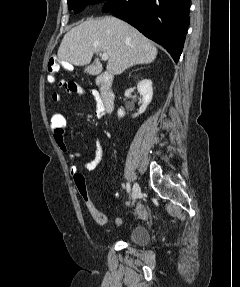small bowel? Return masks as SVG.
<instances>
[{
    "mask_svg": "<svg viewBox=\"0 0 240 287\" xmlns=\"http://www.w3.org/2000/svg\"><path fill=\"white\" fill-rule=\"evenodd\" d=\"M70 92L75 93V94L93 97L95 102H96V114H97V116L101 117L105 114L102 100L99 96V93L96 90L92 89V90L86 91L83 88L78 86L75 90H70ZM51 100L54 103H60L62 101V96H61V94L54 92L51 95ZM53 139H54L56 145L59 147V149L62 152L67 154V159H68V162L70 164V172H71V174L75 175L78 172V168H79L77 161H78V159L83 158V154L81 152H74V151L69 150V148L65 142V139H64V134H62V135L53 134ZM102 155H103L102 144L99 140H96L95 141L94 157L90 161L81 165V167L86 171L95 170L101 162ZM99 171L103 172L104 168L100 169ZM137 212H138L139 216L142 218H145L147 216V211L142 205L137 207Z\"/></svg>",
    "mask_w": 240,
    "mask_h": 287,
    "instance_id": "c3829d8e",
    "label": "small bowel"
}]
</instances>
